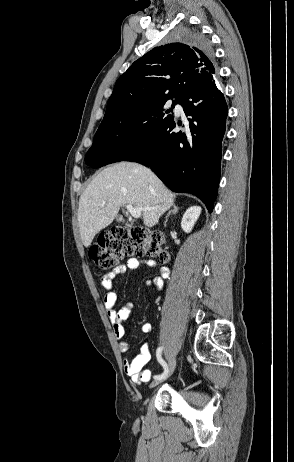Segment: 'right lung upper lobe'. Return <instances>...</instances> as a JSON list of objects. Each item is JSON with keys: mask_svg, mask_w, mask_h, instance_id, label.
<instances>
[{"mask_svg": "<svg viewBox=\"0 0 294 462\" xmlns=\"http://www.w3.org/2000/svg\"><path fill=\"white\" fill-rule=\"evenodd\" d=\"M216 76L211 50L182 43L156 47L136 60L118 78L105 116L149 99L181 97Z\"/></svg>", "mask_w": 294, "mask_h": 462, "instance_id": "cb5924a9", "label": "right lung upper lobe"}]
</instances>
